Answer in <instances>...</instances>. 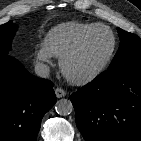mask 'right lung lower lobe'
<instances>
[{
	"instance_id": "1",
	"label": "right lung lower lobe",
	"mask_w": 141,
	"mask_h": 141,
	"mask_svg": "<svg viewBox=\"0 0 141 141\" xmlns=\"http://www.w3.org/2000/svg\"><path fill=\"white\" fill-rule=\"evenodd\" d=\"M53 83L0 55V141H36L41 120L56 102Z\"/></svg>"
}]
</instances>
